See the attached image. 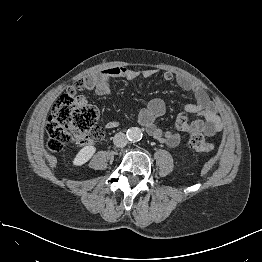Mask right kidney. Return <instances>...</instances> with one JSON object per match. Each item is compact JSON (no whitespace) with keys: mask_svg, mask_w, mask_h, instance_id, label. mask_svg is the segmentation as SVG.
Listing matches in <instances>:
<instances>
[{"mask_svg":"<svg viewBox=\"0 0 262 262\" xmlns=\"http://www.w3.org/2000/svg\"><path fill=\"white\" fill-rule=\"evenodd\" d=\"M96 151V148L94 146H85L83 147L78 154L76 155V157L73 160V165L74 166H81L83 164H85L86 162H88L91 157L94 155Z\"/></svg>","mask_w":262,"mask_h":262,"instance_id":"1","label":"right kidney"}]
</instances>
